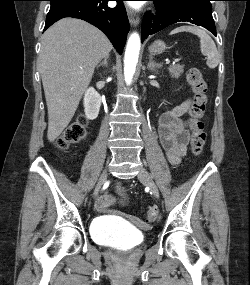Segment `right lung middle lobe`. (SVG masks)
Segmentation results:
<instances>
[{
  "label": "right lung middle lobe",
  "instance_id": "dd1d6c3e",
  "mask_svg": "<svg viewBox=\"0 0 250 285\" xmlns=\"http://www.w3.org/2000/svg\"><path fill=\"white\" fill-rule=\"evenodd\" d=\"M49 1H51L50 9H53L71 3L86 2L88 0H49Z\"/></svg>",
  "mask_w": 250,
  "mask_h": 285
}]
</instances>
